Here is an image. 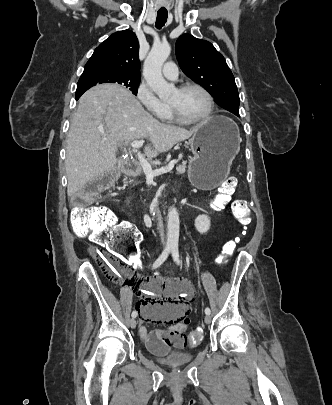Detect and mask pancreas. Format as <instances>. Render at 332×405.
I'll return each mask as SVG.
<instances>
[{
	"label": "pancreas",
	"instance_id": "cf45deb5",
	"mask_svg": "<svg viewBox=\"0 0 332 405\" xmlns=\"http://www.w3.org/2000/svg\"><path fill=\"white\" fill-rule=\"evenodd\" d=\"M186 167H187V166H186L185 163H183V164L177 166V167H176V172H177V174H183V173L185 172Z\"/></svg>",
	"mask_w": 332,
	"mask_h": 405
}]
</instances>
